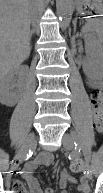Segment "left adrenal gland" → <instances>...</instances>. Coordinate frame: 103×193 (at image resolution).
Segmentation results:
<instances>
[{
  "mask_svg": "<svg viewBox=\"0 0 103 193\" xmlns=\"http://www.w3.org/2000/svg\"><path fill=\"white\" fill-rule=\"evenodd\" d=\"M74 32H76V20L74 21Z\"/></svg>",
  "mask_w": 103,
  "mask_h": 193,
  "instance_id": "obj_1",
  "label": "left adrenal gland"
}]
</instances>
